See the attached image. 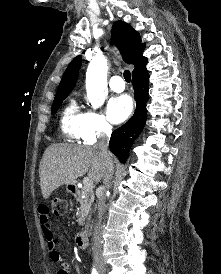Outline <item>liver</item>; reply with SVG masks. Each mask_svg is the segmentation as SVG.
Returning <instances> with one entry per match:
<instances>
[{"instance_id": "liver-1", "label": "liver", "mask_w": 221, "mask_h": 274, "mask_svg": "<svg viewBox=\"0 0 221 274\" xmlns=\"http://www.w3.org/2000/svg\"><path fill=\"white\" fill-rule=\"evenodd\" d=\"M106 170V160L95 146L52 144L45 150L39 166L43 198L48 199L63 185L74 184L87 172L88 178L99 182Z\"/></svg>"}]
</instances>
